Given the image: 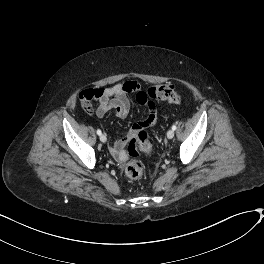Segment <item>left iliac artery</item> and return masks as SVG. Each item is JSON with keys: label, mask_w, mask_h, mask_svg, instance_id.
Listing matches in <instances>:
<instances>
[{"label": "left iliac artery", "mask_w": 264, "mask_h": 264, "mask_svg": "<svg viewBox=\"0 0 264 264\" xmlns=\"http://www.w3.org/2000/svg\"><path fill=\"white\" fill-rule=\"evenodd\" d=\"M176 128H177L176 125L172 126V130H176Z\"/></svg>", "instance_id": "left-iliac-artery-1"}]
</instances>
